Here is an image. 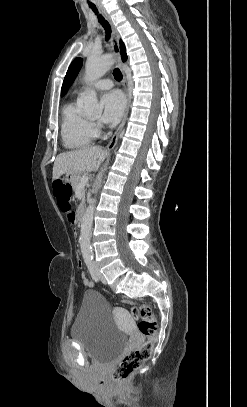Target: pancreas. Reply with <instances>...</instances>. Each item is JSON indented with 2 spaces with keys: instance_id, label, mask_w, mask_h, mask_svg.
<instances>
[{
  "instance_id": "1",
  "label": "pancreas",
  "mask_w": 247,
  "mask_h": 407,
  "mask_svg": "<svg viewBox=\"0 0 247 407\" xmlns=\"http://www.w3.org/2000/svg\"><path fill=\"white\" fill-rule=\"evenodd\" d=\"M82 179V176L78 175L76 176L73 181H72V186L74 190H80V195H81V203L79 205V208L83 206V204L85 203V188L83 187H79L80 185V181ZM80 188V189H79Z\"/></svg>"
}]
</instances>
